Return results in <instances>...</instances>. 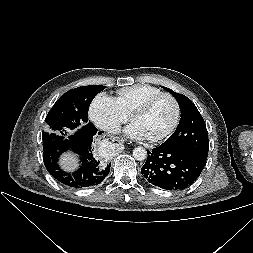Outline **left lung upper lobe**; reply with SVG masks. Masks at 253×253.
Wrapping results in <instances>:
<instances>
[{
	"label": "left lung upper lobe",
	"instance_id": "5c2ea615",
	"mask_svg": "<svg viewBox=\"0 0 253 253\" xmlns=\"http://www.w3.org/2000/svg\"><path fill=\"white\" fill-rule=\"evenodd\" d=\"M163 88L177 98L181 110V119L175 132L162 145L185 149L207 159L208 132L198 109L185 95L176 93L167 87Z\"/></svg>",
	"mask_w": 253,
	"mask_h": 253
}]
</instances>
